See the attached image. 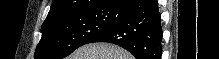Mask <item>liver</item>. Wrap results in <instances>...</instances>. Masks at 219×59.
<instances>
[{"mask_svg":"<svg viewBox=\"0 0 219 59\" xmlns=\"http://www.w3.org/2000/svg\"><path fill=\"white\" fill-rule=\"evenodd\" d=\"M67 59H133V56L113 44H87L74 51Z\"/></svg>","mask_w":219,"mask_h":59,"instance_id":"obj_1","label":"liver"}]
</instances>
